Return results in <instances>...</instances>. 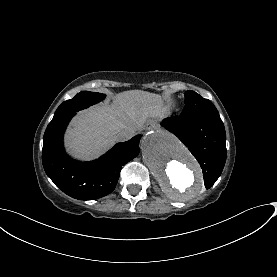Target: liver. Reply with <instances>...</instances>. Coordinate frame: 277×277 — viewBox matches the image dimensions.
Masks as SVG:
<instances>
[{
	"instance_id": "1",
	"label": "liver",
	"mask_w": 277,
	"mask_h": 277,
	"mask_svg": "<svg viewBox=\"0 0 277 277\" xmlns=\"http://www.w3.org/2000/svg\"><path fill=\"white\" fill-rule=\"evenodd\" d=\"M166 110L160 95L140 90L119 93L111 106L96 105L80 111L66 132L65 146L78 159L97 158L117 142L115 131L142 129L148 118H163Z\"/></svg>"
}]
</instances>
